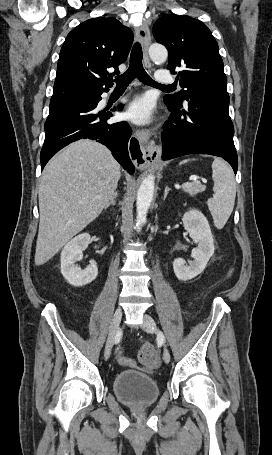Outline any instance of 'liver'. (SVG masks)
<instances>
[{
    "instance_id": "1",
    "label": "liver",
    "mask_w": 272,
    "mask_h": 455,
    "mask_svg": "<svg viewBox=\"0 0 272 455\" xmlns=\"http://www.w3.org/2000/svg\"><path fill=\"white\" fill-rule=\"evenodd\" d=\"M120 178L110 151L92 140L74 142L46 165L39 187L35 265L49 261L109 203Z\"/></svg>"
}]
</instances>
